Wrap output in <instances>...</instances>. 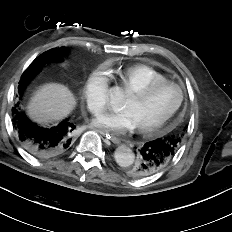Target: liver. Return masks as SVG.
<instances>
[{
  "label": "liver",
  "instance_id": "1",
  "mask_svg": "<svg viewBox=\"0 0 232 232\" xmlns=\"http://www.w3.org/2000/svg\"><path fill=\"white\" fill-rule=\"evenodd\" d=\"M75 104V98L66 86L50 83L36 91L27 109L34 121L48 123L66 117Z\"/></svg>",
  "mask_w": 232,
  "mask_h": 232
}]
</instances>
